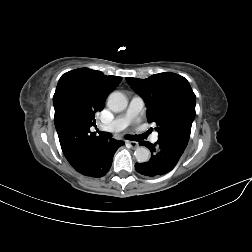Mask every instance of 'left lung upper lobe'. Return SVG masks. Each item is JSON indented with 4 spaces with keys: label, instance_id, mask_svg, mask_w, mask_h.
I'll return each mask as SVG.
<instances>
[{
    "label": "left lung upper lobe",
    "instance_id": "5c2ea615",
    "mask_svg": "<svg viewBox=\"0 0 252 252\" xmlns=\"http://www.w3.org/2000/svg\"><path fill=\"white\" fill-rule=\"evenodd\" d=\"M145 101L147 120L156 123L159 137L187 146L195 118L196 96L188 81L175 73L154 74L147 79L126 78Z\"/></svg>",
    "mask_w": 252,
    "mask_h": 252
}]
</instances>
